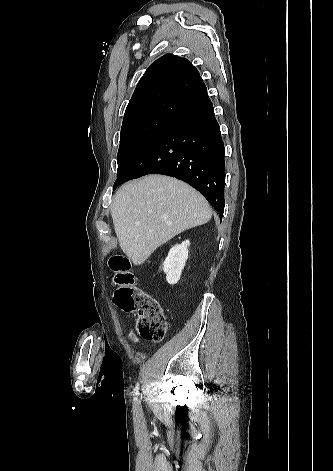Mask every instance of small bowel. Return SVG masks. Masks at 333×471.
<instances>
[{
  "mask_svg": "<svg viewBox=\"0 0 333 471\" xmlns=\"http://www.w3.org/2000/svg\"><path fill=\"white\" fill-rule=\"evenodd\" d=\"M128 338L134 345H139V343H140L139 339H138L137 335L132 330L128 331Z\"/></svg>",
  "mask_w": 333,
  "mask_h": 471,
  "instance_id": "obj_1",
  "label": "small bowel"
}]
</instances>
